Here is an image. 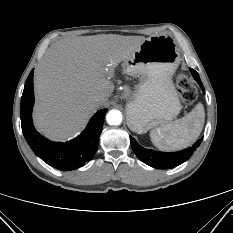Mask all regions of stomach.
I'll return each mask as SVG.
<instances>
[{"label": "stomach", "mask_w": 233, "mask_h": 233, "mask_svg": "<svg viewBox=\"0 0 233 233\" xmlns=\"http://www.w3.org/2000/svg\"><path fill=\"white\" fill-rule=\"evenodd\" d=\"M181 60L175 41L165 35L151 36L125 60L126 73L139 78L126 105L128 127L143 134L173 120L182 108L172 76Z\"/></svg>", "instance_id": "obj_1"}]
</instances>
